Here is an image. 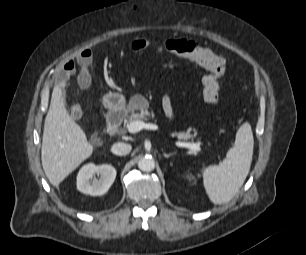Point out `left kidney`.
<instances>
[{
	"label": "left kidney",
	"mask_w": 306,
	"mask_h": 255,
	"mask_svg": "<svg viewBox=\"0 0 306 255\" xmlns=\"http://www.w3.org/2000/svg\"><path fill=\"white\" fill-rule=\"evenodd\" d=\"M186 178L189 179V180H193L194 176L190 174V175H186Z\"/></svg>",
	"instance_id": "1"
}]
</instances>
